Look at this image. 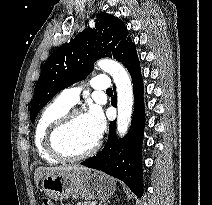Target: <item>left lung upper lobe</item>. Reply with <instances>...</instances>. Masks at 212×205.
<instances>
[{"mask_svg":"<svg viewBox=\"0 0 212 205\" xmlns=\"http://www.w3.org/2000/svg\"><path fill=\"white\" fill-rule=\"evenodd\" d=\"M133 43L124 22L111 14L99 13L95 28H86L72 41L56 49L43 65L34 90L30 118L34 123L38 112L61 90L85 79L93 70V62L102 57L126 61Z\"/></svg>","mask_w":212,"mask_h":205,"instance_id":"obj_1","label":"left lung upper lobe"}]
</instances>
